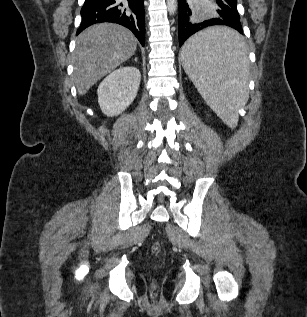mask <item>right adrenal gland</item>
<instances>
[{
	"mask_svg": "<svg viewBox=\"0 0 307 317\" xmlns=\"http://www.w3.org/2000/svg\"><path fill=\"white\" fill-rule=\"evenodd\" d=\"M134 61L137 62V58L136 57H135Z\"/></svg>",
	"mask_w": 307,
	"mask_h": 317,
	"instance_id": "obj_1",
	"label": "right adrenal gland"
}]
</instances>
